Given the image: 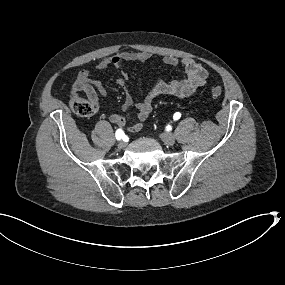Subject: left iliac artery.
Wrapping results in <instances>:
<instances>
[{"mask_svg": "<svg viewBox=\"0 0 285 285\" xmlns=\"http://www.w3.org/2000/svg\"><path fill=\"white\" fill-rule=\"evenodd\" d=\"M181 117V114L179 112H176L173 116L174 120H178Z\"/></svg>", "mask_w": 285, "mask_h": 285, "instance_id": "44dca946", "label": "left iliac artery"}]
</instances>
